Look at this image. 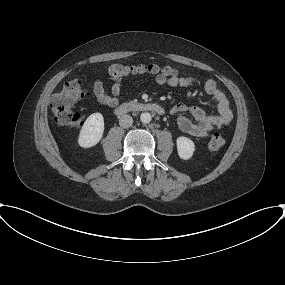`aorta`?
Segmentation results:
<instances>
[{
  "instance_id": "obj_1",
  "label": "aorta",
  "mask_w": 285,
  "mask_h": 285,
  "mask_svg": "<svg viewBox=\"0 0 285 285\" xmlns=\"http://www.w3.org/2000/svg\"><path fill=\"white\" fill-rule=\"evenodd\" d=\"M151 119H152L151 114L148 112H144L140 116L141 122L145 123V124L149 123L151 121Z\"/></svg>"
}]
</instances>
